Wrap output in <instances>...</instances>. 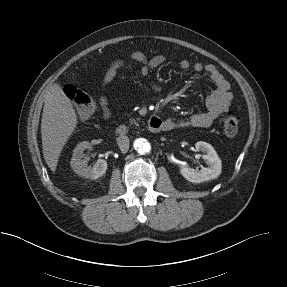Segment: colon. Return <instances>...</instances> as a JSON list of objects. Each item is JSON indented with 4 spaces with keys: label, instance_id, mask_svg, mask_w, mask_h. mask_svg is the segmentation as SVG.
Masks as SVG:
<instances>
[{
    "label": "colon",
    "instance_id": "colon-1",
    "mask_svg": "<svg viewBox=\"0 0 287 287\" xmlns=\"http://www.w3.org/2000/svg\"><path fill=\"white\" fill-rule=\"evenodd\" d=\"M64 91L67 97L75 103L78 114L81 117L87 118L93 114L96 102L92 95L74 86H67ZM220 121L227 136L232 137L237 134L240 119L235 113L231 111L225 112L222 114Z\"/></svg>",
    "mask_w": 287,
    "mask_h": 287
}]
</instances>
